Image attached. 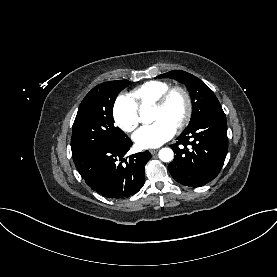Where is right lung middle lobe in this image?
<instances>
[{
	"label": "right lung middle lobe",
	"mask_w": 277,
	"mask_h": 277,
	"mask_svg": "<svg viewBox=\"0 0 277 277\" xmlns=\"http://www.w3.org/2000/svg\"><path fill=\"white\" fill-rule=\"evenodd\" d=\"M131 82L108 81L93 88L81 102L72 128V156L99 144L123 143L128 136L114 125L113 105Z\"/></svg>",
	"instance_id": "1"
}]
</instances>
